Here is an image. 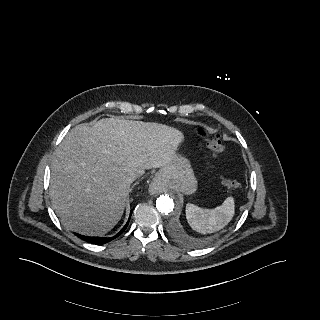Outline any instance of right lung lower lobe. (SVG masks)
<instances>
[{"instance_id":"right-lung-lower-lobe-1","label":"right lung lower lobe","mask_w":320,"mask_h":320,"mask_svg":"<svg viewBox=\"0 0 320 320\" xmlns=\"http://www.w3.org/2000/svg\"><path fill=\"white\" fill-rule=\"evenodd\" d=\"M131 214H132V211L130 213V217H131ZM130 217H129V220L127 222V224L122 228V230L116 234L114 237H88V236H84V235H80V234H77L76 235L81 238L82 240L86 241V242H89V243H92V244H105L113 239H115L116 237H118L127 227L129 221H130Z\"/></svg>"}]
</instances>
